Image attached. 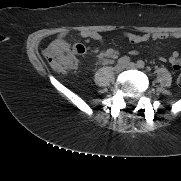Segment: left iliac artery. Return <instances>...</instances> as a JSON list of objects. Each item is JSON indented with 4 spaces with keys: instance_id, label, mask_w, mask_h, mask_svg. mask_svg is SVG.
Instances as JSON below:
<instances>
[{
    "instance_id": "left-iliac-artery-1",
    "label": "left iliac artery",
    "mask_w": 181,
    "mask_h": 181,
    "mask_svg": "<svg viewBox=\"0 0 181 181\" xmlns=\"http://www.w3.org/2000/svg\"><path fill=\"white\" fill-rule=\"evenodd\" d=\"M137 66H138L139 68H144V67H145L144 61L139 60V61L137 62Z\"/></svg>"
}]
</instances>
